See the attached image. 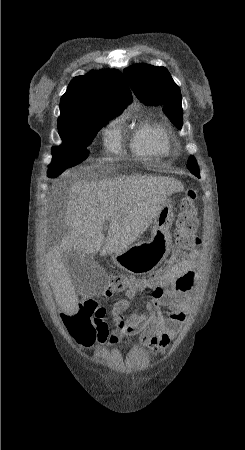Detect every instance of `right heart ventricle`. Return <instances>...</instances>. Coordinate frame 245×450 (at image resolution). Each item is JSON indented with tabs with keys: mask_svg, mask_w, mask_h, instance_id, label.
Returning a JSON list of instances; mask_svg holds the SVG:
<instances>
[{
	"mask_svg": "<svg viewBox=\"0 0 245 450\" xmlns=\"http://www.w3.org/2000/svg\"><path fill=\"white\" fill-rule=\"evenodd\" d=\"M130 147L141 156L165 155L169 151V139L162 126L145 122L134 131Z\"/></svg>",
	"mask_w": 245,
	"mask_h": 450,
	"instance_id": "right-heart-ventricle-1",
	"label": "right heart ventricle"
}]
</instances>
